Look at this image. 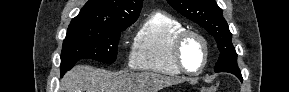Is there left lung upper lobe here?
I'll return each instance as SVG.
<instances>
[{
	"mask_svg": "<svg viewBox=\"0 0 289 92\" xmlns=\"http://www.w3.org/2000/svg\"><path fill=\"white\" fill-rule=\"evenodd\" d=\"M179 13L205 28L216 40L220 51L215 72L241 74L237 65V53L232 45V34L222 9L215 0H167Z\"/></svg>",
	"mask_w": 289,
	"mask_h": 92,
	"instance_id": "1",
	"label": "left lung upper lobe"
}]
</instances>
